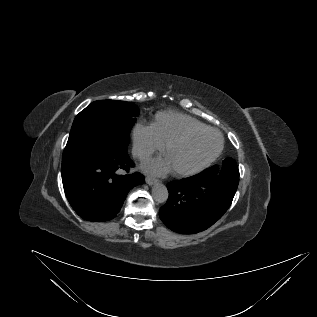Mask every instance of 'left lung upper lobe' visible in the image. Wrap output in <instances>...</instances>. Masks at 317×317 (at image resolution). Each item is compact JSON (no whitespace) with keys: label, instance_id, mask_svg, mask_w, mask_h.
Listing matches in <instances>:
<instances>
[{"label":"left lung upper lobe","instance_id":"5c2ea615","mask_svg":"<svg viewBox=\"0 0 317 317\" xmlns=\"http://www.w3.org/2000/svg\"><path fill=\"white\" fill-rule=\"evenodd\" d=\"M209 171L217 173V174H223V175H228V176L239 178V170L237 168V164H236L235 160H233L230 157L223 160L222 169L219 170L218 166L216 165V166L209 168Z\"/></svg>","mask_w":317,"mask_h":317}]
</instances>
